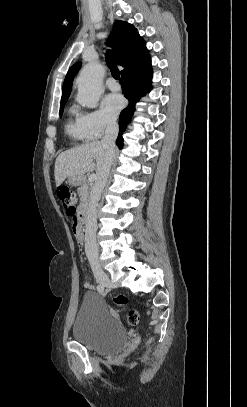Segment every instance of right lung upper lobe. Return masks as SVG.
Returning <instances> with one entry per match:
<instances>
[{"label":"right lung upper lobe","instance_id":"obj_1","mask_svg":"<svg viewBox=\"0 0 247 407\" xmlns=\"http://www.w3.org/2000/svg\"><path fill=\"white\" fill-rule=\"evenodd\" d=\"M107 44L114 49L117 63L124 67L121 74L149 56L146 43L137 35L135 27L127 22L115 21ZM80 67L81 62L76 63L67 72L63 84L61 102L67 101L71 92L73 78Z\"/></svg>","mask_w":247,"mask_h":407}]
</instances>
